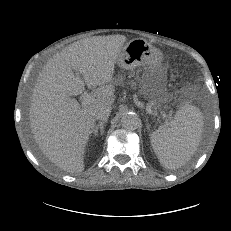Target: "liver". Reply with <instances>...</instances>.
Here are the masks:
<instances>
[{
  "instance_id": "obj_1",
  "label": "liver",
  "mask_w": 231,
  "mask_h": 231,
  "mask_svg": "<svg viewBox=\"0 0 231 231\" xmlns=\"http://www.w3.org/2000/svg\"><path fill=\"white\" fill-rule=\"evenodd\" d=\"M126 39L124 35H111L74 42L54 55L38 77L31 95L30 127L42 153L64 171L84 170L95 113L115 101V64ZM74 71L81 73L84 81ZM85 84L99 88L91 104L80 106L71 97L82 94Z\"/></svg>"
}]
</instances>
